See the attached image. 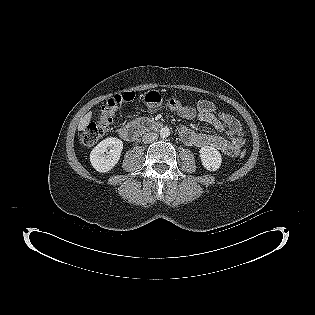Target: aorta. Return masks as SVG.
Returning <instances> with one entry per match:
<instances>
[{"instance_id": "obj_1", "label": "aorta", "mask_w": 315, "mask_h": 315, "mask_svg": "<svg viewBox=\"0 0 315 315\" xmlns=\"http://www.w3.org/2000/svg\"><path fill=\"white\" fill-rule=\"evenodd\" d=\"M161 137H168L170 135V129L168 127H163L160 129Z\"/></svg>"}]
</instances>
